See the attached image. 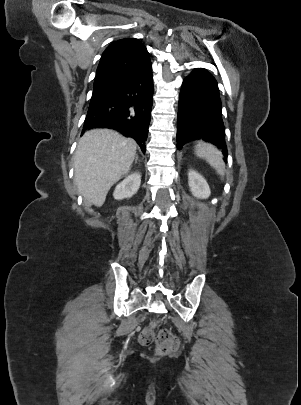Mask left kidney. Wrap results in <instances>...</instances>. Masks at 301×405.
<instances>
[{
  "label": "left kidney",
  "instance_id": "left-kidney-1",
  "mask_svg": "<svg viewBox=\"0 0 301 405\" xmlns=\"http://www.w3.org/2000/svg\"><path fill=\"white\" fill-rule=\"evenodd\" d=\"M188 184L193 196L200 199H206L210 196L209 185L198 172L194 170L189 171Z\"/></svg>",
  "mask_w": 301,
  "mask_h": 405
}]
</instances>
